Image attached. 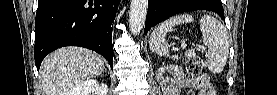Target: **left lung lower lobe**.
I'll list each match as a JSON object with an SVG mask.
<instances>
[{
  "mask_svg": "<svg viewBox=\"0 0 277 95\" xmlns=\"http://www.w3.org/2000/svg\"><path fill=\"white\" fill-rule=\"evenodd\" d=\"M198 5L186 4L183 0H148V12L144 34L156 24L167 18L186 11L211 10L224 18V10L220 0H206Z\"/></svg>",
  "mask_w": 277,
  "mask_h": 95,
  "instance_id": "0a47b994",
  "label": "left lung lower lobe"
}]
</instances>
